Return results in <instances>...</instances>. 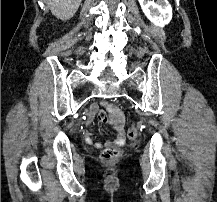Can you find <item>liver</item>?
<instances>
[{
	"label": "liver",
	"instance_id": "obj_1",
	"mask_svg": "<svg viewBox=\"0 0 217 202\" xmlns=\"http://www.w3.org/2000/svg\"><path fill=\"white\" fill-rule=\"evenodd\" d=\"M53 16L59 20H70L76 14L82 0H43Z\"/></svg>",
	"mask_w": 217,
	"mask_h": 202
}]
</instances>
